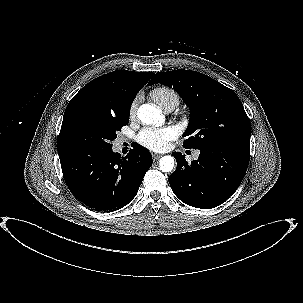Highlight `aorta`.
<instances>
[{"label": "aorta", "mask_w": 303, "mask_h": 303, "mask_svg": "<svg viewBox=\"0 0 303 303\" xmlns=\"http://www.w3.org/2000/svg\"><path fill=\"white\" fill-rule=\"evenodd\" d=\"M138 118L145 124H159L163 121L161 110L150 104H143L138 109ZM159 167L162 172H170L174 169V158L170 155L160 159Z\"/></svg>", "instance_id": "762f6f07"}]
</instances>
